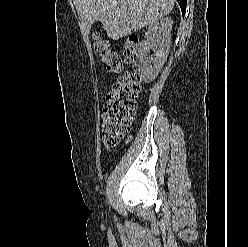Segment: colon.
Returning <instances> with one entry per match:
<instances>
[{"instance_id": "obj_1", "label": "colon", "mask_w": 248, "mask_h": 247, "mask_svg": "<svg viewBox=\"0 0 248 247\" xmlns=\"http://www.w3.org/2000/svg\"><path fill=\"white\" fill-rule=\"evenodd\" d=\"M95 47L109 72L122 69L119 54L110 48L100 35L95 37ZM124 59L131 69L125 72L109 92L102 113V140L106 147L115 148L131 129L136 116L137 97L141 90V78L137 70L138 38L130 35L125 41Z\"/></svg>"}]
</instances>
